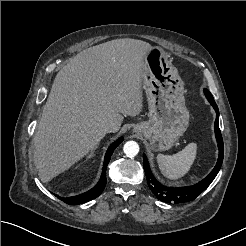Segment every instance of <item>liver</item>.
<instances>
[{
    "instance_id": "obj_1",
    "label": "liver",
    "mask_w": 246,
    "mask_h": 246,
    "mask_svg": "<svg viewBox=\"0 0 246 246\" xmlns=\"http://www.w3.org/2000/svg\"><path fill=\"white\" fill-rule=\"evenodd\" d=\"M152 46L142 40H111L78 53L56 75L33 138L34 163L48 182L84 157L124 116L143 107L144 58Z\"/></svg>"
}]
</instances>
